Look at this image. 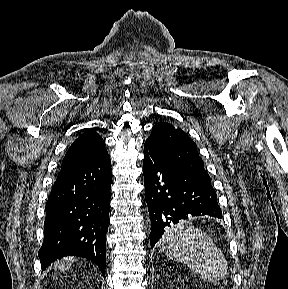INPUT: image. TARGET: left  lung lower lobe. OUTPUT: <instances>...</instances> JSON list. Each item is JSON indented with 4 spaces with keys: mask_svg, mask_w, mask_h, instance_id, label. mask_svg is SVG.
Here are the masks:
<instances>
[{
    "mask_svg": "<svg viewBox=\"0 0 288 289\" xmlns=\"http://www.w3.org/2000/svg\"><path fill=\"white\" fill-rule=\"evenodd\" d=\"M143 174L151 219V247L165 229L189 216L222 218L211 183L170 163L148 142L144 144Z\"/></svg>",
    "mask_w": 288,
    "mask_h": 289,
    "instance_id": "1",
    "label": "left lung lower lobe"
}]
</instances>
